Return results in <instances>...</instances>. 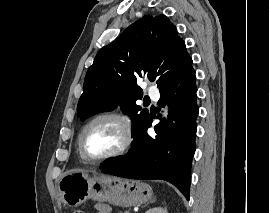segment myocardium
Instances as JSON below:
<instances>
[{
    "instance_id": "myocardium-1",
    "label": "myocardium",
    "mask_w": 270,
    "mask_h": 213,
    "mask_svg": "<svg viewBox=\"0 0 270 213\" xmlns=\"http://www.w3.org/2000/svg\"><path fill=\"white\" fill-rule=\"evenodd\" d=\"M104 119L114 120L123 127L124 141L122 145L115 151L101 157H92L86 152L84 148V136L91 125H93L97 121L104 120ZM131 142H132V128H131L130 122L127 120L126 117L115 112H104V113H100L92 117L83 126L78 137L79 152L86 161L91 162V163H101V162L111 160V159H114L123 155L129 149Z\"/></svg>"
}]
</instances>
